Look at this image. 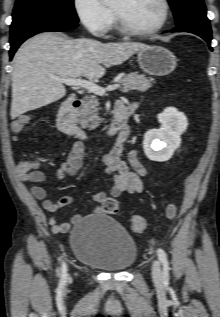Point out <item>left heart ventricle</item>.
Returning a JSON list of instances; mask_svg holds the SVG:
<instances>
[{"label": "left heart ventricle", "mask_w": 220, "mask_h": 317, "mask_svg": "<svg viewBox=\"0 0 220 317\" xmlns=\"http://www.w3.org/2000/svg\"><path fill=\"white\" fill-rule=\"evenodd\" d=\"M112 9L116 10L130 27L137 30L154 27L163 15L160 0H115Z\"/></svg>", "instance_id": "1"}]
</instances>
